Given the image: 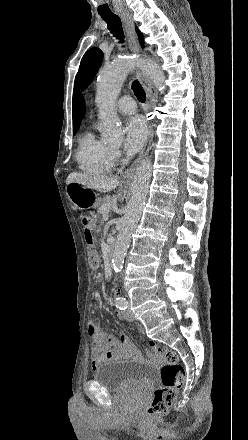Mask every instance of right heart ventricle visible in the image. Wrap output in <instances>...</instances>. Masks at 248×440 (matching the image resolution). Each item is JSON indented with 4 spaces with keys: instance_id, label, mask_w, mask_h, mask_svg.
Listing matches in <instances>:
<instances>
[{
    "instance_id": "e07e8e85",
    "label": "right heart ventricle",
    "mask_w": 248,
    "mask_h": 440,
    "mask_svg": "<svg viewBox=\"0 0 248 440\" xmlns=\"http://www.w3.org/2000/svg\"><path fill=\"white\" fill-rule=\"evenodd\" d=\"M76 160L79 169L87 174L103 175L112 169L110 148L99 140L92 131H87L81 136Z\"/></svg>"
}]
</instances>
